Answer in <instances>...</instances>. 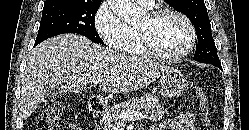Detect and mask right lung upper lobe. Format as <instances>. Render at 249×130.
<instances>
[{
    "mask_svg": "<svg viewBox=\"0 0 249 130\" xmlns=\"http://www.w3.org/2000/svg\"><path fill=\"white\" fill-rule=\"evenodd\" d=\"M57 1L62 0H47L44 5L51 4ZM66 1H75V2H86V3H101L102 0H66Z\"/></svg>",
    "mask_w": 249,
    "mask_h": 130,
    "instance_id": "right-lung-upper-lobe-1",
    "label": "right lung upper lobe"
}]
</instances>
